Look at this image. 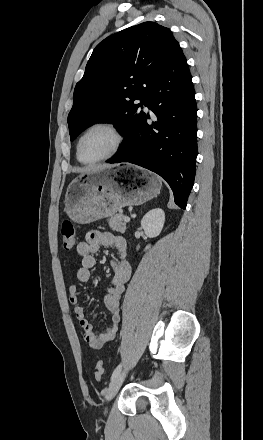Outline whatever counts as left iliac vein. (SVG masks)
Listing matches in <instances>:
<instances>
[{"label":"left iliac vein","instance_id":"4c4485c4","mask_svg":"<svg viewBox=\"0 0 263 440\" xmlns=\"http://www.w3.org/2000/svg\"><path fill=\"white\" fill-rule=\"evenodd\" d=\"M125 375L126 371H123L119 373L117 377L111 382L106 395L107 402H109L116 395L125 379Z\"/></svg>","mask_w":263,"mask_h":440}]
</instances>
